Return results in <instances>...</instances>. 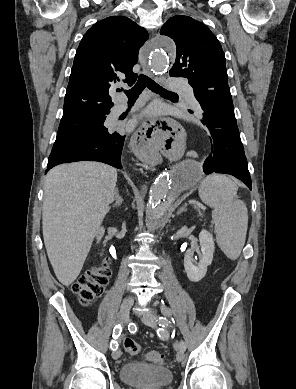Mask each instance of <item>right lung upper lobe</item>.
Segmentation results:
<instances>
[{
    "mask_svg": "<svg viewBox=\"0 0 296 389\" xmlns=\"http://www.w3.org/2000/svg\"><path fill=\"white\" fill-rule=\"evenodd\" d=\"M148 32L124 16L98 21L83 36L76 51L66 90L63 117L83 113H110V87L134 83L132 71Z\"/></svg>",
    "mask_w": 296,
    "mask_h": 389,
    "instance_id": "right-lung-upper-lobe-1",
    "label": "right lung upper lobe"
}]
</instances>
